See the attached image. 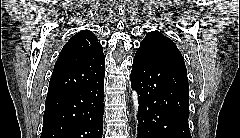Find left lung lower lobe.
Wrapping results in <instances>:
<instances>
[{
  "label": "left lung lower lobe",
  "mask_w": 240,
  "mask_h": 138,
  "mask_svg": "<svg viewBox=\"0 0 240 138\" xmlns=\"http://www.w3.org/2000/svg\"><path fill=\"white\" fill-rule=\"evenodd\" d=\"M130 79L139 95L137 138H191L184 61L135 55Z\"/></svg>",
  "instance_id": "1"
}]
</instances>
